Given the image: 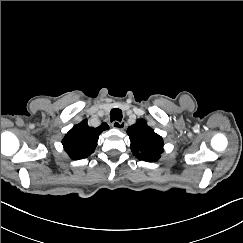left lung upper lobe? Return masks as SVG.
<instances>
[{
  "instance_id": "1",
  "label": "left lung upper lobe",
  "mask_w": 243,
  "mask_h": 243,
  "mask_svg": "<svg viewBox=\"0 0 243 243\" xmlns=\"http://www.w3.org/2000/svg\"><path fill=\"white\" fill-rule=\"evenodd\" d=\"M127 134L131 140V151L139 159L147 162L159 160L163 152V139L150 128L144 119L128 127Z\"/></svg>"
}]
</instances>
